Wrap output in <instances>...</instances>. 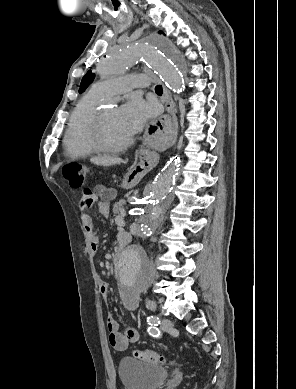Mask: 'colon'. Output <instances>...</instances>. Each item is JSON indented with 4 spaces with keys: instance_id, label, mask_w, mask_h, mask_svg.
<instances>
[{
    "instance_id": "1",
    "label": "colon",
    "mask_w": 296,
    "mask_h": 389,
    "mask_svg": "<svg viewBox=\"0 0 296 389\" xmlns=\"http://www.w3.org/2000/svg\"><path fill=\"white\" fill-rule=\"evenodd\" d=\"M86 168L79 163H70L63 168V176L72 188H80L83 185ZM133 355L140 361L157 364L165 361L164 356L154 350H134Z\"/></svg>"
}]
</instances>
